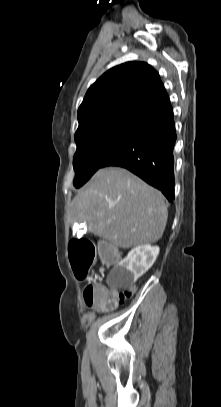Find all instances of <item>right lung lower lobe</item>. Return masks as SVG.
<instances>
[{"label": "right lung lower lobe", "instance_id": "obj_1", "mask_svg": "<svg viewBox=\"0 0 221 407\" xmlns=\"http://www.w3.org/2000/svg\"><path fill=\"white\" fill-rule=\"evenodd\" d=\"M175 140L173 109L168 103L140 122L128 139L102 163L101 168H126L172 201Z\"/></svg>", "mask_w": 221, "mask_h": 407}]
</instances>
